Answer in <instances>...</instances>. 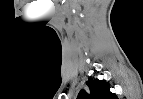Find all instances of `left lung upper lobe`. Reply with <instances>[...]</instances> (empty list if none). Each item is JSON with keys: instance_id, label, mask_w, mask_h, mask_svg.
<instances>
[{"instance_id": "5c2ea615", "label": "left lung upper lobe", "mask_w": 143, "mask_h": 99, "mask_svg": "<svg viewBox=\"0 0 143 99\" xmlns=\"http://www.w3.org/2000/svg\"><path fill=\"white\" fill-rule=\"evenodd\" d=\"M89 92L81 90L77 99H118V97L110 92V84L105 80L89 78L87 81Z\"/></svg>"}]
</instances>
